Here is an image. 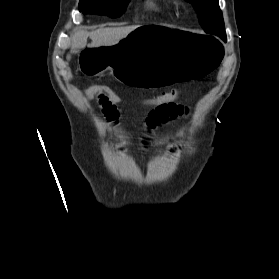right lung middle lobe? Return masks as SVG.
<instances>
[{"mask_svg":"<svg viewBox=\"0 0 279 279\" xmlns=\"http://www.w3.org/2000/svg\"><path fill=\"white\" fill-rule=\"evenodd\" d=\"M130 0H80L79 10L84 14L105 15L116 18L122 15Z\"/></svg>","mask_w":279,"mask_h":279,"instance_id":"obj_1","label":"right lung middle lobe"}]
</instances>
